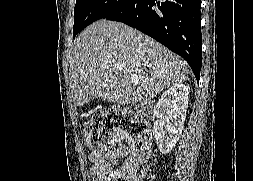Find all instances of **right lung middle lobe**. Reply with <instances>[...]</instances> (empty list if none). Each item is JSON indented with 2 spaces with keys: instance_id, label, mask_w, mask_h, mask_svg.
I'll use <instances>...</instances> for the list:
<instances>
[{
  "instance_id": "right-lung-middle-lobe-1",
  "label": "right lung middle lobe",
  "mask_w": 253,
  "mask_h": 181,
  "mask_svg": "<svg viewBox=\"0 0 253 181\" xmlns=\"http://www.w3.org/2000/svg\"><path fill=\"white\" fill-rule=\"evenodd\" d=\"M127 0H77L74 8L73 37L90 23L118 10Z\"/></svg>"
}]
</instances>
